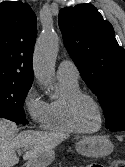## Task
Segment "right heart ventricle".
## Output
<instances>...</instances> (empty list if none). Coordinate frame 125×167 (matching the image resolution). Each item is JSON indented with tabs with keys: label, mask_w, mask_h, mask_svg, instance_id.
Returning a JSON list of instances; mask_svg holds the SVG:
<instances>
[{
	"label": "right heart ventricle",
	"mask_w": 125,
	"mask_h": 167,
	"mask_svg": "<svg viewBox=\"0 0 125 167\" xmlns=\"http://www.w3.org/2000/svg\"><path fill=\"white\" fill-rule=\"evenodd\" d=\"M61 94L60 97L47 103V112L42 127L45 130L73 134L77 131L68 120L66 106L68 99L80 91L78 81L59 79Z\"/></svg>",
	"instance_id": "e07e8e85"
}]
</instances>
